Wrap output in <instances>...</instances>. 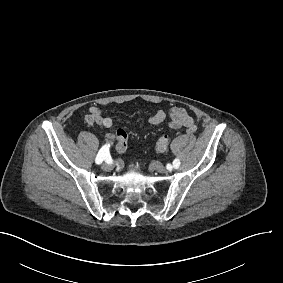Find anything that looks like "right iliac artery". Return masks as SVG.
<instances>
[{
  "label": "right iliac artery",
  "instance_id": "right-iliac-artery-1",
  "mask_svg": "<svg viewBox=\"0 0 283 283\" xmlns=\"http://www.w3.org/2000/svg\"><path fill=\"white\" fill-rule=\"evenodd\" d=\"M109 147L110 144H106L99 150L95 160L96 164H101L104 159L110 156Z\"/></svg>",
  "mask_w": 283,
  "mask_h": 283
}]
</instances>
